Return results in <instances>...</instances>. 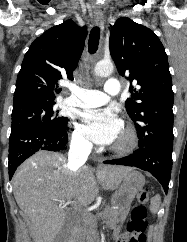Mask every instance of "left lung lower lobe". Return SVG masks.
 I'll return each mask as SVG.
<instances>
[{
    "instance_id": "left-lung-lower-lobe-1",
    "label": "left lung lower lobe",
    "mask_w": 187,
    "mask_h": 242,
    "mask_svg": "<svg viewBox=\"0 0 187 242\" xmlns=\"http://www.w3.org/2000/svg\"><path fill=\"white\" fill-rule=\"evenodd\" d=\"M172 149L173 141L161 142L139 148L124 158L108 160L104 163L133 166L148 171L157 178L167 194L172 169Z\"/></svg>"
}]
</instances>
